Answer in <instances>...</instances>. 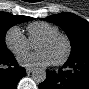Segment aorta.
<instances>
[{
    "label": "aorta",
    "mask_w": 89,
    "mask_h": 89,
    "mask_svg": "<svg viewBox=\"0 0 89 89\" xmlns=\"http://www.w3.org/2000/svg\"><path fill=\"white\" fill-rule=\"evenodd\" d=\"M31 78L37 84L42 83L46 79V71L42 68H36L33 70Z\"/></svg>",
    "instance_id": "obj_1"
}]
</instances>
